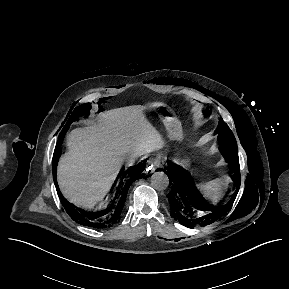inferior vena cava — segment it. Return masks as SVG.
I'll return each instance as SVG.
<instances>
[{"mask_svg":"<svg viewBox=\"0 0 289 289\" xmlns=\"http://www.w3.org/2000/svg\"><path fill=\"white\" fill-rule=\"evenodd\" d=\"M134 161H135L134 157L130 158V160H129L130 163H134Z\"/></svg>","mask_w":289,"mask_h":289,"instance_id":"1","label":"inferior vena cava"}]
</instances>
